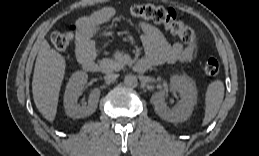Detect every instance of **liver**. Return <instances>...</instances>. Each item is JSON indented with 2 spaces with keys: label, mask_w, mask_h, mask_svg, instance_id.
Masks as SVG:
<instances>
[{
  "label": "liver",
  "mask_w": 259,
  "mask_h": 156,
  "mask_svg": "<svg viewBox=\"0 0 259 156\" xmlns=\"http://www.w3.org/2000/svg\"><path fill=\"white\" fill-rule=\"evenodd\" d=\"M64 57L44 39L40 43L32 80L34 103L49 122H53L57 113L59 92L65 74Z\"/></svg>",
  "instance_id": "1"
}]
</instances>
